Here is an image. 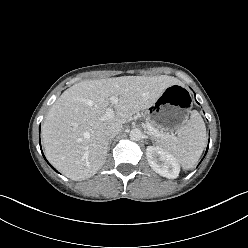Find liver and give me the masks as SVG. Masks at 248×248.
<instances>
[{"label": "liver", "mask_w": 248, "mask_h": 248, "mask_svg": "<svg viewBox=\"0 0 248 248\" xmlns=\"http://www.w3.org/2000/svg\"><path fill=\"white\" fill-rule=\"evenodd\" d=\"M174 84L180 81L167 75L121 76L74 84L52 105L43 123L47 159L72 180L93 176L106 161L107 127L125 124ZM112 96L118 98L113 104L114 116L104 118Z\"/></svg>", "instance_id": "6515ba94"}]
</instances>
